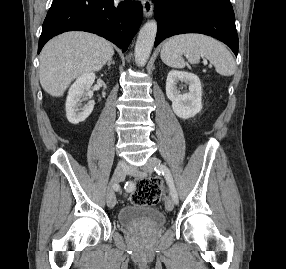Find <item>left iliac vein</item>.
Instances as JSON below:
<instances>
[{"label": "left iliac vein", "mask_w": 286, "mask_h": 269, "mask_svg": "<svg viewBox=\"0 0 286 269\" xmlns=\"http://www.w3.org/2000/svg\"><path fill=\"white\" fill-rule=\"evenodd\" d=\"M158 165H161V161L158 158H156V157H151L147 161V164L143 168V170L147 171V172H153L155 166H158ZM128 173L130 175H132V176L140 175L139 169L135 168V167H130L129 170H128ZM165 208L168 211H172L173 208H174V200L170 196L166 197V199H165Z\"/></svg>", "instance_id": "left-iliac-vein-1"}]
</instances>
